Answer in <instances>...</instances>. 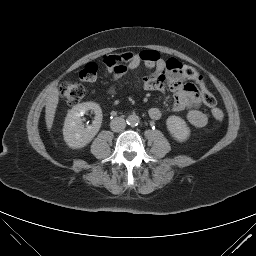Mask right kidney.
Returning <instances> with one entry per match:
<instances>
[{
	"label": "right kidney",
	"mask_w": 256,
	"mask_h": 256,
	"mask_svg": "<svg viewBox=\"0 0 256 256\" xmlns=\"http://www.w3.org/2000/svg\"><path fill=\"white\" fill-rule=\"evenodd\" d=\"M93 111L95 118L92 125L84 127L81 117L87 111ZM102 123V110L94 102H84L73 106L65 118L63 136L66 144L73 148H82L92 141Z\"/></svg>",
	"instance_id": "obj_1"
}]
</instances>
